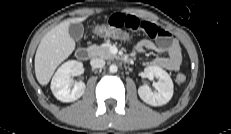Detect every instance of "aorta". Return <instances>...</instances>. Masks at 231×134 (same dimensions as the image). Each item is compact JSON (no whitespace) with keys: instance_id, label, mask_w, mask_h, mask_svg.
<instances>
[{"instance_id":"762f6f07","label":"aorta","mask_w":231,"mask_h":134,"mask_svg":"<svg viewBox=\"0 0 231 134\" xmlns=\"http://www.w3.org/2000/svg\"><path fill=\"white\" fill-rule=\"evenodd\" d=\"M117 70H118V68H117V66H116L115 64L110 65L109 71H110L111 73H116Z\"/></svg>"}]
</instances>
